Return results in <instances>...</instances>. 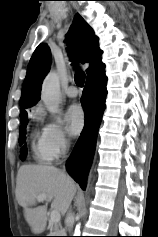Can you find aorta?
Masks as SVG:
<instances>
[{"mask_svg":"<svg viewBox=\"0 0 158 237\" xmlns=\"http://www.w3.org/2000/svg\"><path fill=\"white\" fill-rule=\"evenodd\" d=\"M41 99L47 109L56 114L60 104V86L59 77L55 71H51L45 77L42 83Z\"/></svg>","mask_w":158,"mask_h":237,"instance_id":"obj_1","label":"aorta"}]
</instances>
